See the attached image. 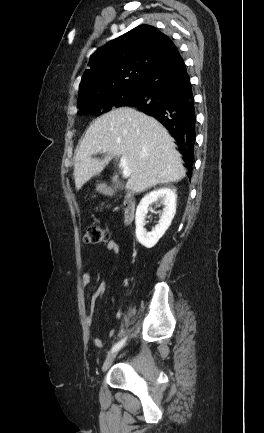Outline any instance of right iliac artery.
Listing matches in <instances>:
<instances>
[{
	"instance_id": "1",
	"label": "right iliac artery",
	"mask_w": 264,
	"mask_h": 433,
	"mask_svg": "<svg viewBox=\"0 0 264 433\" xmlns=\"http://www.w3.org/2000/svg\"><path fill=\"white\" fill-rule=\"evenodd\" d=\"M126 339H127V338L125 337L124 339H122V340H120L119 342H117V343L112 347L111 352H115V351L119 350V349L123 346V344L125 343Z\"/></svg>"
}]
</instances>
